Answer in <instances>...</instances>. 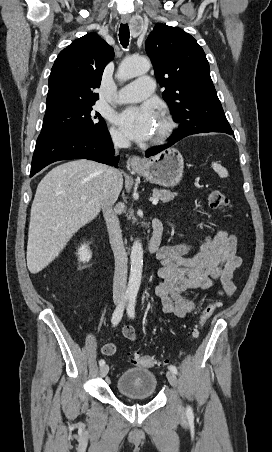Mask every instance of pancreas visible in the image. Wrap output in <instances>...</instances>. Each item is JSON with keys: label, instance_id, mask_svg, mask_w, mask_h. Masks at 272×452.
Masks as SVG:
<instances>
[{"label": "pancreas", "instance_id": "obj_1", "mask_svg": "<svg viewBox=\"0 0 272 452\" xmlns=\"http://www.w3.org/2000/svg\"><path fill=\"white\" fill-rule=\"evenodd\" d=\"M176 195L177 194L175 192H171V191L164 190V189H154L153 190V196L158 197V199L163 203L173 200ZM133 220H135V219L133 218Z\"/></svg>", "mask_w": 272, "mask_h": 452}]
</instances>
